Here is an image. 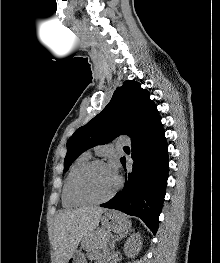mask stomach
<instances>
[{"label":"stomach","instance_id":"obj_1","mask_svg":"<svg viewBox=\"0 0 220 263\" xmlns=\"http://www.w3.org/2000/svg\"><path fill=\"white\" fill-rule=\"evenodd\" d=\"M103 230L108 233H123L131 228V222L126 215L117 211L105 212L101 217ZM67 263H86V259L81 251L75 250Z\"/></svg>","mask_w":220,"mask_h":263}]
</instances>
